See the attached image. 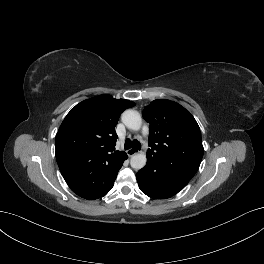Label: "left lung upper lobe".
Masks as SVG:
<instances>
[{
    "label": "left lung upper lobe",
    "instance_id": "left-lung-upper-lobe-1",
    "mask_svg": "<svg viewBox=\"0 0 264 264\" xmlns=\"http://www.w3.org/2000/svg\"><path fill=\"white\" fill-rule=\"evenodd\" d=\"M142 115L150 124L147 160L155 161L165 172H181L191 179L204 153L194 117L180 104L166 99L152 101Z\"/></svg>",
    "mask_w": 264,
    "mask_h": 264
}]
</instances>
